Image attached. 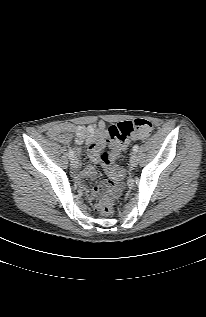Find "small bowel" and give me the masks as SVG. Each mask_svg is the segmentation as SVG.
Returning <instances> with one entry per match:
<instances>
[{"instance_id":"1","label":"small bowel","mask_w":206,"mask_h":317,"mask_svg":"<svg viewBox=\"0 0 206 317\" xmlns=\"http://www.w3.org/2000/svg\"><path fill=\"white\" fill-rule=\"evenodd\" d=\"M75 135V143L77 145H85L88 149L89 157L92 161L99 160V154L102 149L107 145L108 132L106 130V124L103 121H99L96 124L81 126L74 124H60L54 125L47 131V135L64 145L69 144L71 141V135ZM119 149L111 146L110 155L112 158L118 155ZM75 153L79 155L80 150L76 149ZM96 174L92 165L86 166V168L79 173V176L94 177ZM98 188H94L87 193V198L93 203L95 207L98 206L97 194Z\"/></svg>"}]
</instances>
